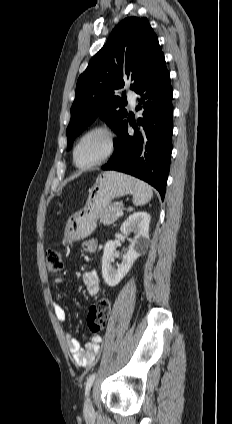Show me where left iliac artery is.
<instances>
[{"instance_id": "obj_1", "label": "left iliac artery", "mask_w": 232, "mask_h": 424, "mask_svg": "<svg viewBox=\"0 0 232 424\" xmlns=\"http://www.w3.org/2000/svg\"><path fill=\"white\" fill-rule=\"evenodd\" d=\"M95 377H96V373H93L87 379L86 387H85V395H88V393H89V391L91 389V386H92V384L94 382Z\"/></svg>"}]
</instances>
